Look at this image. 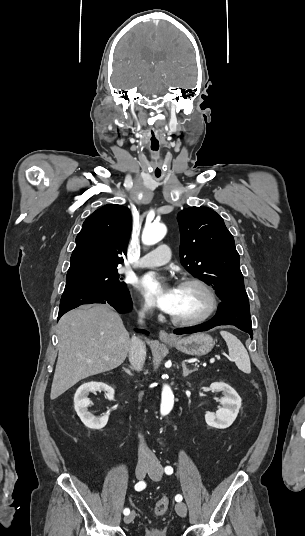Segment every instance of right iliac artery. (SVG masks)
I'll use <instances>...</instances> for the list:
<instances>
[{
    "label": "right iliac artery",
    "mask_w": 305,
    "mask_h": 536,
    "mask_svg": "<svg viewBox=\"0 0 305 536\" xmlns=\"http://www.w3.org/2000/svg\"><path fill=\"white\" fill-rule=\"evenodd\" d=\"M145 487H146L145 482L140 481V482H138V483L135 485V490H137V491H141V490H143ZM123 513H124V515H129L130 510H129L128 508H125L124 511H123Z\"/></svg>",
    "instance_id": "obj_1"
}]
</instances>
